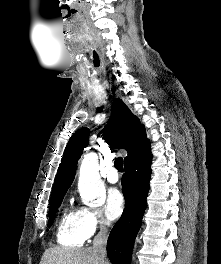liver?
<instances>
[{
  "label": "liver",
  "instance_id": "1",
  "mask_svg": "<svg viewBox=\"0 0 221 264\" xmlns=\"http://www.w3.org/2000/svg\"><path fill=\"white\" fill-rule=\"evenodd\" d=\"M39 264H102L92 247L63 248L45 250ZM104 264H109L105 261Z\"/></svg>",
  "mask_w": 221,
  "mask_h": 264
}]
</instances>
